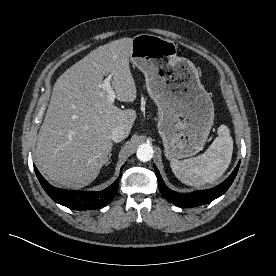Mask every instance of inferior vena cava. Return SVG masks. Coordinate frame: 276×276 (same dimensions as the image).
Here are the masks:
<instances>
[{"instance_id":"obj_1","label":"inferior vena cava","mask_w":276,"mask_h":276,"mask_svg":"<svg viewBox=\"0 0 276 276\" xmlns=\"http://www.w3.org/2000/svg\"><path fill=\"white\" fill-rule=\"evenodd\" d=\"M127 137V134L124 130L123 127L121 126H117L113 129L112 133H111V139L114 142H121L122 140H124Z\"/></svg>"}]
</instances>
